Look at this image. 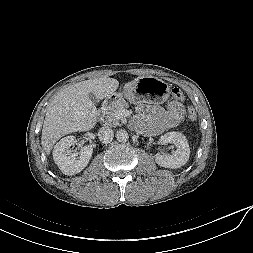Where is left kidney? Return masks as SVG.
<instances>
[{
  "label": "left kidney",
  "instance_id": "obj_1",
  "mask_svg": "<svg viewBox=\"0 0 253 253\" xmlns=\"http://www.w3.org/2000/svg\"><path fill=\"white\" fill-rule=\"evenodd\" d=\"M163 144L173 143L177 149L172 154L157 155L156 163L165 168L176 169L185 165L189 160L190 148L186 137L180 132H168L160 137Z\"/></svg>",
  "mask_w": 253,
  "mask_h": 253
}]
</instances>
